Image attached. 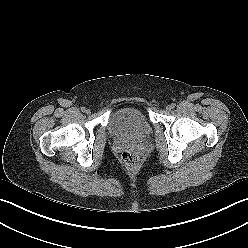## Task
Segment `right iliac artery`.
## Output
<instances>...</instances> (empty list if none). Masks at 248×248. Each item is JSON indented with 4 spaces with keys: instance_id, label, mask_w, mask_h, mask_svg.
<instances>
[{
    "instance_id": "obj_1",
    "label": "right iliac artery",
    "mask_w": 248,
    "mask_h": 248,
    "mask_svg": "<svg viewBox=\"0 0 248 248\" xmlns=\"http://www.w3.org/2000/svg\"><path fill=\"white\" fill-rule=\"evenodd\" d=\"M81 111H82V112H85V111H86V108H85V107H82V108H81Z\"/></svg>"
}]
</instances>
